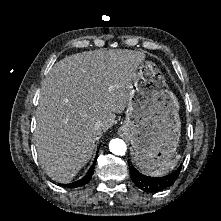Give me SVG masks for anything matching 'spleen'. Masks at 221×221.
Segmentation results:
<instances>
[{
  "mask_svg": "<svg viewBox=\"0 0 221 221\" xmlns=\"http://www.w3.org/2000/svg\"><path fill=\"white\" fill-rule=\"evenodd\" d=\"M180 157H181L180 155H176L175 159L170 160L166 162L164 165L160 166L159 168L153 171H148L147 173H149L152 176H163L164 174L168 173L169 171L173 170L176 167Z\"/></svg>",
  "mask_w": 221,
  "mask_h": 221,
  "instance_id": "obj_1",
  "label": "spleen"
}]
</instances>
